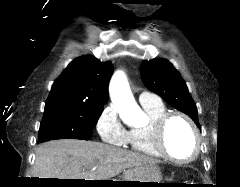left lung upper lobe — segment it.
<instances>
[{"mask_svg":"<svg viewBox=\"0 0 240 187\" xmlns=\"http://www.w3.org/2000/svg\"><path fill=\"white\" fill-rule=\"evenodd\" d=\"M141 77L146 87L161 96L169 105L187 114L200 128L197 107L179 72L165 59L143 61Z\"/></svg>","mask_w":240,"mask_h":187,"instance_id":"5c2ea615","label":"left lung upper lobe"}]
</instances>
